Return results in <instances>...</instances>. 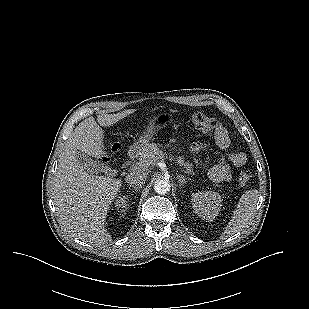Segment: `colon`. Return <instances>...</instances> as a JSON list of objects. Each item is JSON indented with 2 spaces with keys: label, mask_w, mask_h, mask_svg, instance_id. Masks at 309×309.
<instances>
[{
  "label": "colon",
  "mask_w": 309,
  "mask_h": 309,
  "mask_svg": "<svg viewBox=\"0 0 309 309\" xmlns=\"http://www.w3.org/2000/svg\"><path fill=\"white\" fill-rule=\"evenodd\" d=\"M190 120L195 128L205 133L209 134L217 133L222 128V125L219 121L210 118L201 112H192L190 114ZM113 149L114 148L112 147L111 150ZM105 161L108 163L114 162L113 158L110 155L105 157ZM250 179H251V172L249 170L240 171L237 175V182L240 185H246L250 181Z\"/></svg>",
  "instance_id": "1"
}]
</instances>
